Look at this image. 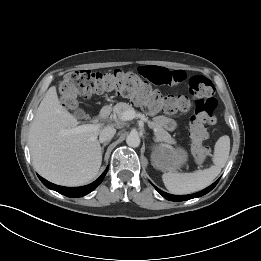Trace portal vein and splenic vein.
<instances>
[{
    "instance_id": "portal-vein-and-splenic-vein-1",
    "label": "portal vein and splenic vein",
    "mask_w": 261,
    "mask_h": 261,
    "mask_svg": "<svg viewBox=\"0 0 261 261\" xmlns=\"http://www.w3.org/2000/svg\"><path fill=\"white\" fill-rule=\"evenodd\" d=\"M136 117L141 118L142 120H147V118H145L144 115H142L140 113L137 114L135 112V110H128V111L123 112L120 119H121V121H129ZM100 127H101V124H83V125L77 126L75 128L66 130L65 133L66 134L82 133V132H86V131L96 130V129H99Z\"/></svg>"
}]
</instances>
